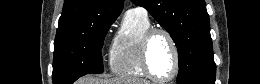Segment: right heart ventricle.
Here are the masks:
<instances>
[{
  "mask_svg": "<svg viewBox=\"0 0 260 84\" xmlns=\"http://www.w3.org/2000/svg\"><path fill=\"white\" fill-rule=\"evenodd\" d=\"M152 27L148 15L142 9L129 10L110 52L112 72L124 78L146 77L141 64V40Z\"/></svg>",
  "mask_w": 260,
  "mask_h": 84,
  "instance_id": "e07e8e85",
  "label": "right heart ventricle"
}]
</instances>
